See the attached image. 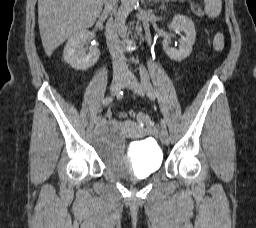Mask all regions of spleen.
Listing matches in <instances>:
<instances>
[{
	"label": "spleen",
	"instance_id": "obj_1",
	"mask_svg": "<svg viewBox=\"0 0 256 228\" xmlns=\"http://www.w3.org/2000/svg\"><path fill=\"white\" fill-rule=\"evenodd\" d=\"M205 13L210 18H216L219 16L222 10V0H204Z\"/></svg>",
	"mask_w": 256,
	"mask_h": 228
}]
</instances>
